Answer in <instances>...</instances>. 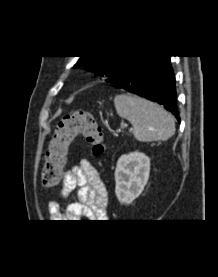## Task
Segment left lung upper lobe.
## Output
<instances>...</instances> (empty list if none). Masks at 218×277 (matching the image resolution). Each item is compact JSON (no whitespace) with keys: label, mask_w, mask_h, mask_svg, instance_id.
Segmentation results:
<instances>
[{"label":"left lung upper lobe","mask_w":218,"mask_h":277,"mask_svg":"<svg viewBox=\"0 0 218 277\" xmlns=\"http://www.w3.org/2000/svg\"><path fill=\"white\" fill-rule=\"evenodd\" d=\"M135 56H81L76 65L86 67L102 78H108L121 70Z\"/></svg>","instance_id":"obj_1"}]
</instances>
